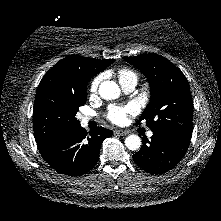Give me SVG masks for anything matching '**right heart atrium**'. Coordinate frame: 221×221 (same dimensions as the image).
<instances>
[{"label": "right heart atrium", "instance_id": "right-heart-atrium-1", "mask_svg": "<svg viewBox=\"0 0 221 221\" xmlns=\"http://www.w3.org/2000/svg\"><path fill=\"white\" fill-rule=\"evenodd\" d=\"M102 79H103V75L100 74V75H97V76L92 80V82H91V84H90V91H91L92 93H96V92H97V90H98V88H99V85H100Z\"/></svg>", "mask_w": 221, "mask_h": 221}]
</instances>
